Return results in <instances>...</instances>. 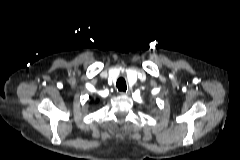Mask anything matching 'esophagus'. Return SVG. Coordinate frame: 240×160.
Returning a JSON list of instances; mask_svg holds the SVG:
<instances>
[{"label": "esophagus", "instance_id": "1", "mask_svg": "<svg viewBox=\"0 0 240 160\" xmlns=\"http://www.w3.org/2000/svg\"><path fill=\"white\" fill-rule=\"evenodd\" d=\"M121 94H122V95H126V96H128V95H130V92H129V91L121 92Z\"/></svg>", "mask_w": 240, "mask_h": 160}]
</instances>
